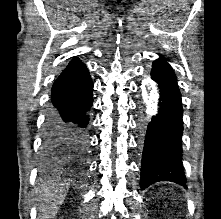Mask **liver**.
I'll use <instances>...</instances> for the list:
<instances>
[{
    "label": "liver",
    "instance_id": "1",
    "mask_svg": "<svg viewBox=\"0 0 221 219\" xmlns=\"http://www.w3.org/2000/svg\"><path fill=\"white\" fill-rule=\"evenodd\" d=\"M65 194L64 186H60L58 189L44 188L37 205L40 212L39 219H53L65 199Z\"/></svg>",
    "mask_w": 221,
    "mask_h": 219
}]
</instances>
